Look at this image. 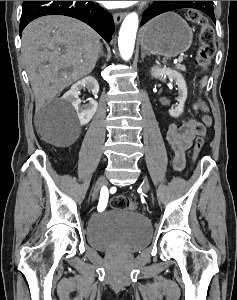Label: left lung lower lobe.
Instances as JSON below:
<instances>
[{"label":"left lung lower lobe","instance_id":"left-lung-lower-lobe-1","mask_svg":"<svg viewBox=\"0 0 237 300\" xmlns=\"http://www.w3.org/2000/svg\"><path fill=\"white\" fill-rule=\"evenodd\" d=\"M173 2L172 5L179 7L177 9L183 8V4L188 1H171ZM202 6L198 7V10L206 13L214 23H216L215 16H214V10H213V1H201ZM175 10V9H174Z\"/></svg>","mask_w":237,"mask_h":300}]
</instances>
